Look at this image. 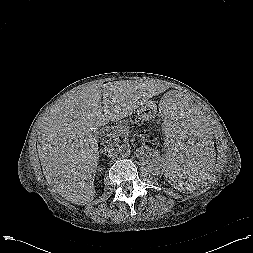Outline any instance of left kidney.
<instances>
[{"label":"left kidney","instance_id":"obj_1","mask_svg":"<svg viewBox=\"0 0 253 253\" xmlns=\"http://www.w3.org/2000/svg\"><path fill=\"white\" fill-rule=\"evenodd\" d=\"M182 189H184L183 183H180V184H179V187H178V190H182Z\"/></svg>","mask_w":253,"mask_h":253}]
</instances>
